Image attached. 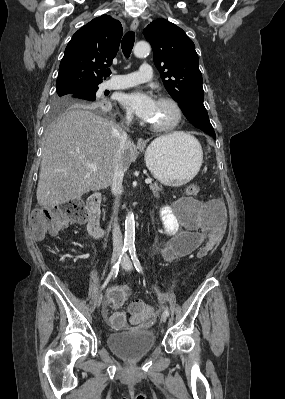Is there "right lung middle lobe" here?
Here are the masks:
<instances>
[{
  "label": "right lung middle lobe",
  "instance_id": "1",
  "mask_svg": "<svg viewBox=\"0 0 285 399\" xmlns=\"http://www.w3.org/2000/svg\"><path fill=\"white\" fill-rule=\"evenodd\" d=\"M98 87L89 89H61L56 90L52 118L66 109L76 107L103 108L105 103L96 96Z\"/></svg>",
  "mask_w": 285,
  "mask_h": 399
}]
</instances>
